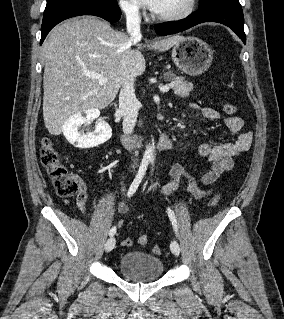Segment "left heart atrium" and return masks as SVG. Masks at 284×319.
Masks as SVG:
<instances>
[{"label":"left heart atrium","instance_id":"obj_1","mask_svg":"<svg viewBox=\"0 0 284 319\" xmlns=\"http://www.w3.org/2000/svg\"><path fill=\"white\" fill-rule=\"evenodd\" d=\"M141 5H143L144 7L155 11L160 3V0H137Z\"/></svg>","mask_w":284,"mask_h":319}]
</instances>
